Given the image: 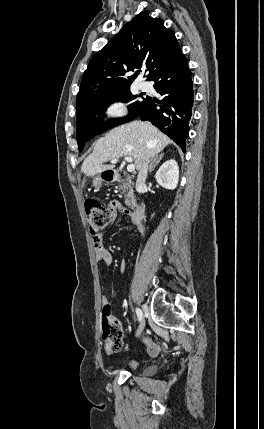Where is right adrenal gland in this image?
<instances>
[{
  "mask_svg": "<svg viewBox=\"0 0 264 429\" xmlns=\"http://www.w3.org/2000/svg\"><path fill=\"white\" fill-rule=\"evenodd\" d=\"M164 154H160L159 156H156L150 163L149 166V173H151L154 168L159 164V162L161 161V159L163 158Z\"/></svg>",
  "mask_w": 264,
  "mask_h": 429,
  "instance_id": "2a0ac1e0",
  "label": "right adrenal gland"
}]
</instances>
